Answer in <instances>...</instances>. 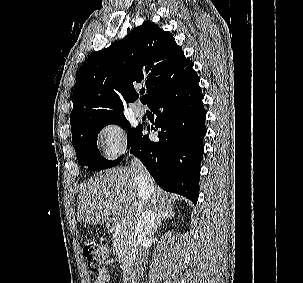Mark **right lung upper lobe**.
Wrapping results in <instances>:
<instances>
[{
	"label": "right lung upper lobe",
	"instance_id": "cb5924a9",
	"mask_svg": "<svg viewBox=\"0 0 303 283\" xmlns=\"http://www.w3.org/2000/svg\"><path fill=\"white\" fill-rule=\"evenodd\" d=\"M168 31L150 21L109 47L90 55L81 65L73 91L72 134L82 125L123 115V101L137 98L134 85L145 82L149 104L180 85L195 71Z\"/></svg>",
	"mask_w": 303,
	"mask_h": 283
}]
</instances>
